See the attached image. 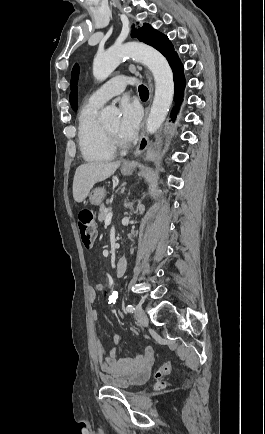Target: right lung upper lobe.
Wrapping results in <instances>:
<instances>
[{"label": "right lung upper lobe", "instance_id": "1", "mask_svg": "<svg viewBox=\"0 0 265 434\" xmlns=\"http://www.w3.org/2000/svg\"><path fill=\"white\" fill-rule=\"evenodd\" d=\"M79 78V67L76 64L73 68L71 75V94H70V104L72 108H77V83Z\"/></svg>", "mask_w": 265, "mask_h": 434}]
</instances>
